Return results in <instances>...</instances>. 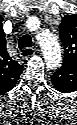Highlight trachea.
I'll use <instances>...</instances> for the list:
<instances>
[{"label":"trachea","instance_id":"trachea-1","mask_svg":"<svg viewBox=\"0 0 77 125\" xmlns=\"http://www.w3.org/2000/svg\"><path fill=\"white\" fill-rule=\"evenodd\" d=\"M32 46V38L30 35L25 34L23 35L18 42V47L21 50L22 48L25 47H31Z\"/></svg>","mask_w":77,"mask_h":125}]
</instances>
